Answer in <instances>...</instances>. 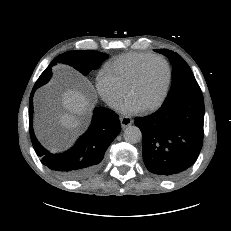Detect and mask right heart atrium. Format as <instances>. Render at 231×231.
<instances>
[{
  "label": "right heart atrium",
  "instance_id": "1",
  "mask_svg": "<svg viewBox=\"0 0 231 231\" xmlns=\"http://www.w3.org/2000/svg\"><path fill=\"white\" fill-rule=\"evenodd\" d=\"M96 85L101 98L112 108L117 107L126 94V90L104 70L99 72Z\"/></svg>",
  "mask_w": 231,
  "mask_h": 231
}]
</instances>
